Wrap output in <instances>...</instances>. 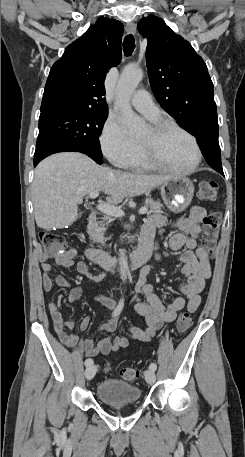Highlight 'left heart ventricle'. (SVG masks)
Returning <instances> with one entry per match:
<instances>
[{
	"instance_id": "1",
	"label": "left heart ventricle",
	"mask_w": 245,
	"mask_h": 457,
	"mask_svg": "<svg viewBox=\"0 0 245 457\" xmlns=\"http://www.w3.org/2000/svg\"><path fill=\"white\" fill-rule=\"evenodd\" d=\"M137 142L145 147L151 158L167 167L185 169L195 159L191 141L177 130H170L158 138L150 127L137 138Z\"/></svg>"
}]
</instances>
